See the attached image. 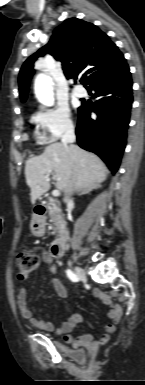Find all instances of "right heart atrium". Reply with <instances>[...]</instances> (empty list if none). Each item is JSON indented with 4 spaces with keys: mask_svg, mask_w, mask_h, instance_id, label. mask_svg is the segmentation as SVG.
I'll return each mask as SVG.
<instances>
[{
    "mask_svg": "<svg viewBox=\"0 0 145 385\" xmlns=\"http://www.w3.org/2000/svg\"><path fill=\"white\" fill-rule=\"evenodd\" d=\"M41 131V139L52 143L74 130L70 109L66 104L41 107L33 116Z\"/></svg>",
    "mask_w": 145,
    "mask_h": 385,
    "instance_id": "d8ad5b80",
    "label": "right heart atrium"
}]
</instances>
